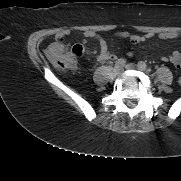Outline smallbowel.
I'll list each match as a JSON object with an SVG mask.
<instances>
[{
  "label": "small bowel",
  "mask_w": 181,
  "mask_h": 181,
  "mask_svg": "<svg viewBox=\"0 0 181 181\" xmlns=\"http://www.w3.org/2000/svg\"><path fill=\"white\" fill-rule=\"evenodd\" d=\"M66 35H67L66 32H60L57 34V36H56V46L57 47L63 48L62 42ZM84 36L86 38L96 39L99 42V44H100V54L98 56L99 61L112 60L116 57L108 49V46H107V43L105 42V40L100 35H98L96 32L86 31V32H84ZM117 36L120 38L129 39L130 42L133 44H139V43H143V42L149 40L150 38H152L153 34L147 33V34H143V35H136V34H131L127 31H121V32L117 33ZM158 37L163 40L176 39V38L181 37V34L179 32H163V33L158 34ZM162 59L164 61L169 60L175 67L181 68V52H179V51H174L169 56V58L163 57Z\"/></svg>",
  "instance_id": "small-bowel-1"
}]
</instances>
